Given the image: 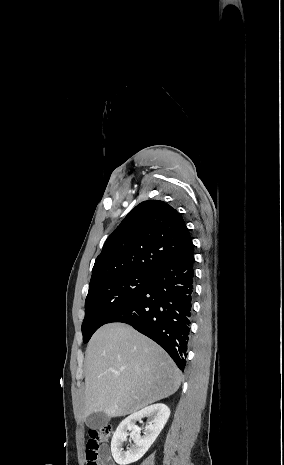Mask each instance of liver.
Listing matches in <instances>:
<instances>
[{
    "instance_id": "obj_1",
    "label": "liver",
    "mask_w": 284,
    "mask_h": 465,
    "mask_svg": "<svg viewBox=\"0 0 284 465\" xmlns=\"http://www.w3.org/2000/svg\"><path fill=\"white\" fill-rule=\"evenodd\" d=\"M85 369L82 421L92 413L107 417L138 413L176 393L181 383L171 357L124 323H109L94 333Z\"/></svg>"
}]
</instances>
